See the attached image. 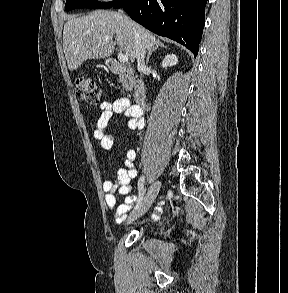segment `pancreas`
I'll return each mask as SVG.
<instances>
[{"instance_id": "cf45deb5", "label": "pancreas", "mask_w": 288, "mask_h": 293, "mask_svg": "<svg viewBox=\"0 0 288 293\" xmlns=\"http://www.w3.org/2000/svg\"><path fill=\"white\" fill-rule=\"evenodd\" d=\"M119 81L122 83V86L126 89V90H131L132 89V80L127 81L124 78L123 74H120V78Z\"/></svg>"}]
</instances>
